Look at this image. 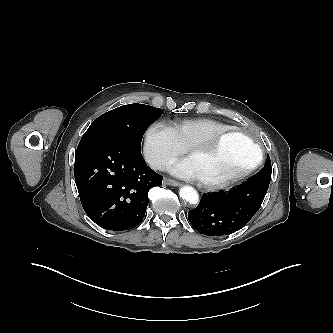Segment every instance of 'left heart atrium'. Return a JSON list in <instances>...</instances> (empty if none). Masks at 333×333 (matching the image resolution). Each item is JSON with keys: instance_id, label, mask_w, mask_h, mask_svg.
Masks as SVG:
<instances>
[{"instance_id": "left-heart-atrium-1", "label": "left heart atrium", "mask_w": 333, "mask_h": 333, "mask_svg": "<svg viewBox=\"0 0 333 333\" xmlns=\"http://www.w3.org/2000/svg\"><path fill=\"white\" fill-rule=\"evenodd\" d=\"M171 172L182 178H198L196 170L190 158L183 159L172 165Z\"/></svg>"}]
</instances>
